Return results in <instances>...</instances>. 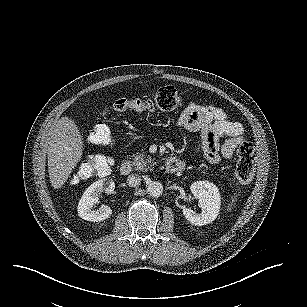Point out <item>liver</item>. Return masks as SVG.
Masks as SVG:
<instances>
[{
	"label": "liver",
	"instance_id": "1",
	"mask_svg": "<svg viewBox=\"0 0 307 307\" xmlns=\"http://www.w3.org/2000/svg\"><path fill=\"white\" fill-rule=\"evenodd\" d=\"M82 141L75 123L62 117L51 135L47 164L51 185L60 188L81 156Z\"/></svg>",
	"mask_w": 307,
	"mask_h": 307
}]
</instances>
